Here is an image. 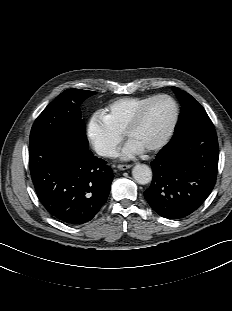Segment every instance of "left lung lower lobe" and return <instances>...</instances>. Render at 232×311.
<instances>
[{
    "label": "left lung lower lobe",
    "mask_w": 232,
    "mask_h": 311,
    "mask_svg": "<svg viewBox=\"0 0 232 311\" xmlns=\"http://www.w3.org/2000/svg\"><path fill=\"white\" fill-rule=\"evenodd\" d=\"M219 148L209 117L183 125L151 162L153 180L144 192L160 216L180 219L194 212L212 192Z\"/></svg>",
    "instance_id": "left-lung-lower-lobe-1"
}]
</instances>
